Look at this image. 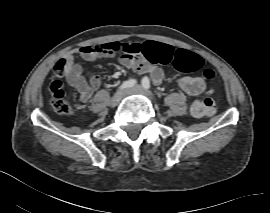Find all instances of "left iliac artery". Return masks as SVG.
Listing matches in <instances>:
<instances>
[{
  "label": "left iliac artery",
  "mask_w": 270,
  "mask_h": 213,
  "mask_svg": "<svg viewBox=\"0 0 270 213\" xmlns=\"http://www.w3.org/2000/svg\"><path fill=\"white\" fill-rule=\"evenodd\" d=\"M142 86L145 88V89H150V81H149V78L148 77H143L142 81Z\"/></svg>",
  "instance_id": "obj_1"
}]
</instances>
